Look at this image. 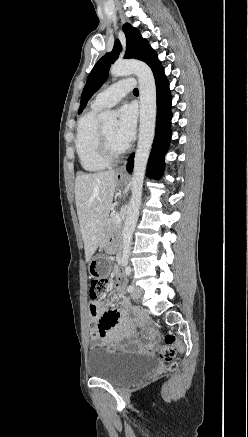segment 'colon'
<instances>
[{
    "mask_svg": "<svg viewBox=\"0 0 248 437\" xmlns=\"http://www.w3.org/2000/svg\"><path fill=\"white\" fill-rule=\"evenodd\" d=\"M110 280L107 279H91L90 282V297L94 301L102 299L110 289ZM110 349H112L110 347ZM183 350V346L173 334H167L164 337V344L156 347V352L160 358L170 364V368L176 367V356Z\"/></svg>",
    "mask_w": 248,
    "mask_h": 437,
    "instance_id": "5ec220e1",
    "label": "colon"
}]
</instances>
